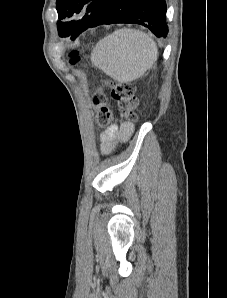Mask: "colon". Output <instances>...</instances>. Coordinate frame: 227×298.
<instances>
[{"label": "colon", "mask_w": 227, "mask_h": 298, "mask_svg": "<svg viewBox=\"0 0 227 298\" xmlns=\"http://www.w3.org/2000/svg\"><path fill=\"white\" fill-rule=\"evenodd\" d=\"M71 64L79 60L78 51L69 53ZM111 97L117 102L118 108L124 119L135 121L137 119L136 109L139 101L135 95V86L130 82H112L109 84ZM93 103L97 107L95 120L99 125H108L113 121V114L107 106V98L104 93L98 92L93 96Z\"/></svg>", "instance_id": "colon-1"}]
</instances>
